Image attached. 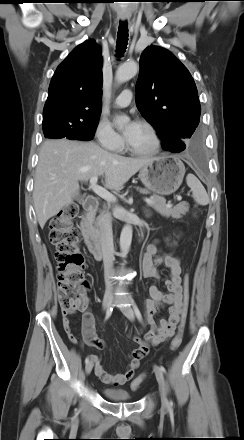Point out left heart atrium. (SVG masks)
Returning <instances> with one entry per match:
<instances>
[{"instance_id":"39dd6f15","label":"left heart atrium","mask_w":244,"mask_h":440,"mask_svg":"<svg viewBox=\"0 0 244 440\" xmlns=\"http://www.w3.org/2000/svg\"><path fill=\"white\" fill-rule=\"evenodd\" d=\"M139 124L135 121H132L129 123L126 131H125V137L127 140H129L130 138H132V136L135 134V132L138 129Z\"/></svg>"}]
</instances>
